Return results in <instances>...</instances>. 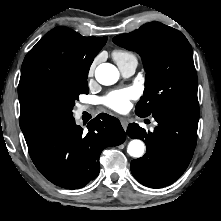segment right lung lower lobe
I'll return each instance as SVG.
<instances>
[{"label":"right lung lower lobe","instance_id":"right-lung-lower-lobe-1","mask_svg":"<svg viewBox=\"0 0 221 221\" xmlns=\"http://www.w3.org/2000/svg\"><path fill=\"white\" fill-rule=\"evenodd\" d=\"M87 129L83 132L71 115L32 121L22 132L37 169L55 185L77 189L97 177L101 152L126 139L120 121L105 113L91 120Z\"/></svg>","mask_w":221,"mask_h":221}]
</instances>
